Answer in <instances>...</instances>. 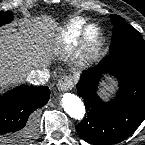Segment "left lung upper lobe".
<instances>
[{
	"instance_id": "obj_1",
	"label": "left lung upper lobe",
	"mask_w": 145,
	"mask_h": 145,
	"mask_svg": "<svg viewBox=\"0 0 145 145\" xmlns=\"http://www.w3.org/2000/svg\"><path fill=\"white\" fill-rule=\"evenodd\" d=\"M114 25L110 52L129 51L145 55V42L140 33L118 15H110Z\"/></svg>"
}]
</instances>
